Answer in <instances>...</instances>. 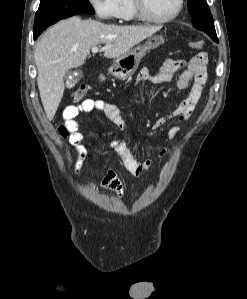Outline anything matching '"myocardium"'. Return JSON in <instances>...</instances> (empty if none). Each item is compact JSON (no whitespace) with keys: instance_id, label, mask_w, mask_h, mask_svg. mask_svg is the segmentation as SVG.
Listing matches in <instances>:
<instances>
[{"instance_id":"obj_1","label":"myocardium","mask_w":247,"mask_h":299,"mask_svg":"<svg viewBox=\"0 0 247 299\" xmlns=\"http://www.w3.org/2000/svg\"><path fill=\"white\" fill-rule=\"evenodd\" d=\"M133 4L137 18H139L140 20L150 23L164 24L175 20L179 16L183 9L184 0H177V7L175 11L170 16L165 18H156L149 15L146 11L144 0H133Z\"/></svg>"}]
</instances>
